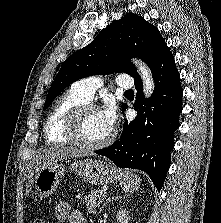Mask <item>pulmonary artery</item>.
<instances>
[{
	"label": "pulmonary artery",
	"instance_id": "1",
	"mask_svg": "<svg viewBox=\"0 0 221 223\" xmlns=\"http://www.w3.org/2000/svg\"><path fill=\"white\" fill-rule=\"evenodd\" d=\"M116 83L119 87L131 89L134 86L133 80L123 74L116 78ZM103 85L102 78L98 76H91L80 79L72 84L71 89L81 96L85 101H91L94 92Z\"/></svg>",
	"mask_w": 221,
	"mask_h": 223
}]
</instances>
